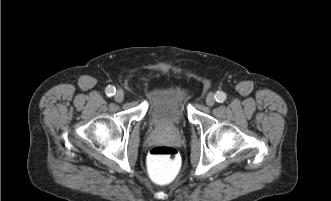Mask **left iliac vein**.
Returning a JSON list of instances; mask_svg holds the SVG:
<instances>
[{
	"label": "left iliac vein",
	"mask_w": 331,
	"mask_h": 201,
	"mask_svg": "<svg viewBox=\"0 0 331 201\" xmlns=\"http://www.w3.org/2000/svg\"><path fill=\"white\" fill-rule=\"evenodd\" d=\"M206 104L208 106H213L215 104V96L213 93H209L206 98Z\"/></svg>",
	"instance_id": "4c4485c4"
}]
</instances>
